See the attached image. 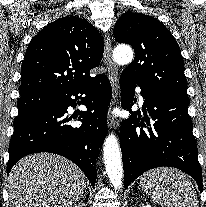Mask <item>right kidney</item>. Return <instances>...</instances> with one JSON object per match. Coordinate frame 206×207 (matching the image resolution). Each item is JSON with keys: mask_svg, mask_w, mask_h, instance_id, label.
I'll return each instance as SVG.
<instances>
[{"mask_svg": "<svg viewBox=\"0 0 206 207\" xmlns=\"http://www.w3.org/2000/svg\"><path fill=\"white\" fill-rule=\"evenodd\" d=\"M73 207H84V206H83V204H78V205L75 204V206H73Z\"/></svg>", "mask_w": 206, "mask_h": 207, "instance_id": "ca27d5eb", "label": "right kidney"}]
</instances>
